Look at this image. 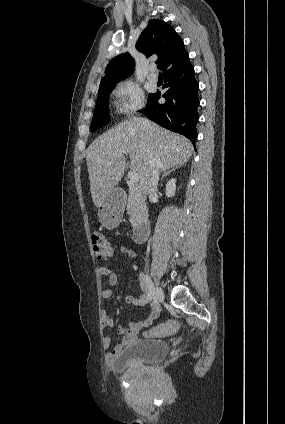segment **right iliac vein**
Returning a JSON list of instances; mask_svg holds the SVG:
<instances>
[{"label": "right iliac vein", "mask_w": 285, "mask_h": 424, "mask_svg": "<svg viewBox=\"0 0 285 424\" xmlns=\"http://www.w3.org/2000/svg\"><path fill=\"white\" fill-rule=\"evenodd\" d=\"M153 289H154L156 301L158 303L164 301L165 296H164V293H163L162 289L159 288L158 286H153ZM157 315H158V310L156 309V316H155V318L157 317Z\"/></svg>", "instance_id": "63e3f726"}]
</instances>
